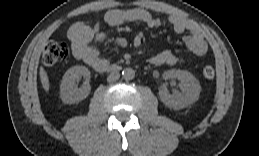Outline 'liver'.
Masks as SVG:
<instances>
[{
	"instance_id": "6515ba94",
	"label": "liver",
	"mask_w": 259,
	"mask_h": 156,
	"mask_svg": "<svg viewBox=\"0 0 259 156\" xmlns=\"http://www.w3.org/2000/svg\"><path fill=\"white\" fill-rule=\"evenodd\" d=\"M39 75H40V81H41L43 89L46 92H48L49 88H50L49 78H48L47 72L44 70V68L42 66H40Z\"/></svg>"
}]
</instances>
